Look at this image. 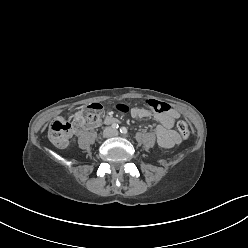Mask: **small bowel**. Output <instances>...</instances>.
Returning a JSON list of instances; mask_svg holds the SVG:
<instances>
[{
    "label": "small bowel",
    "mask_w": 248,
    "mask_h": 248,
    "mask_svg": "<svg viewBox=\"0 0 248 248\" xmlns=\"http://www.w3.org/2000/svg\"><path fill=\"white\" fill-rule=\"evenodd\" d=\"M133 118L143 119L150 116L149 111L144 108H133L130 111ZM179 113L174 109H169L156 115V120L159 124L154 129V134L158 143L164 148H171L176 145L180 138L177 132L173 129Z\"/></svg>",
    "instance_id": "1"
}]
</instances>
